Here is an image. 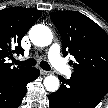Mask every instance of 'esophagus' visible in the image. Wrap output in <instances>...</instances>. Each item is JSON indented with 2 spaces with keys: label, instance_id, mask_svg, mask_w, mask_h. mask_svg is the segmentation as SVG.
<instances>
[{
  "label": "esophagus",
  "instance_id": "1",
  "mask_svg": "<svg viewBox=\"0 0 108 108\" xmlns=\"http://www.w3.org/2000/svg\"><path fill=\"white\" fill-rule=\"evenodd\" d=\"M40 71H41L42 75H49V74H51L50 71H46V70H43V69H41Z\"/></svg>",
  "mask_w": 108,
  "mask_h": 108
}]
</instances>
